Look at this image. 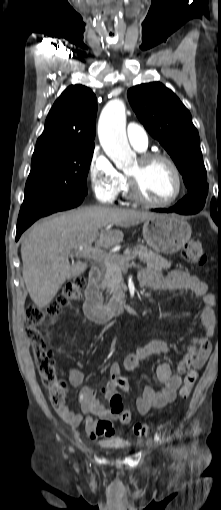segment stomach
<instances>
[{
    "label": "stomach",
    "instance_id": "obj_1",
    "mask_svg": "<svg viewBox=\"0 0 221 510\" xmlns=\"http://www.w3.org/2000/svg\"><path fill=\"white\" fill-rule=\"evenodd\" d=\"M191 227L178 215L158 214L143 224V237L156 252L175 254L190 240Z\"/></svg>",
    "mask_w": 221,
    "mask_h": 510
}]
</instances>
